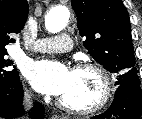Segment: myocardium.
Segmentation results:
<instances>
[{
    "label": "myocardium",
    "mask_w": 142,
    "mask_h": 119,
    "mask_svg": "<svg viewBox=\"0 0 142 119\" xmlns=\"http://www.w3.org/2000/svg\"><path fill=\"white\" fill-rule=\"evenodd\" d=\"M73 71H92L100 80L101 92L95 104L89 107H77L68 104L61 98L57 100V104L63 110L79 115L95 114L103 110L111 100L113 94V85L107 71L100 65L92 62H82L74 66Z\"/></svg>",
    "instance_id": "myocardium-1"
}]
</instances>
